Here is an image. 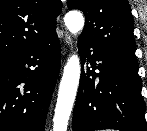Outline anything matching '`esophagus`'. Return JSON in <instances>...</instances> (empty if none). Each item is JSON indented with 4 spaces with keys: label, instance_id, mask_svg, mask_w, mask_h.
Segmentation results:
<instances>
[{
    "label": "esophagus",
    "instance_id": "34e87169",
    "mask_svg": "<svg viewBox=\"0 0 147 131\" xmlns=\"http://www.w3.org/2000/svg\"><path fill=\"white\" fill-rule=\"evenodd\" d=\"M64 41H65L66 45L71 49L72 48V39H71V36L67 32H65Z\"/></svg>",
    "mask_w": 147,
    "mask_h": 131
}]
</instances>
